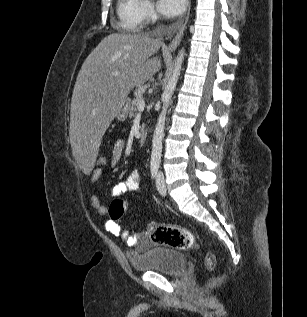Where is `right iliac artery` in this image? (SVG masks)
<instances>
[{"label": "right iliac artery", "mask_w": 307, "mask_h": 317, "mask_svg": "<svg viewBox=\"0 0 307 317\" xmlns=\"http://www.w3.org/2000/svg\"><path fill=\"white\" fill-rule=\"evenodd\" d=\"M158 175V167L157 166H153L151 167V176L153 179H155Z\"/></svg>", "instance_id": "1"}]
</instances>
